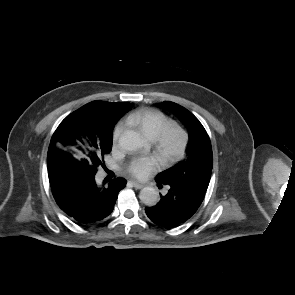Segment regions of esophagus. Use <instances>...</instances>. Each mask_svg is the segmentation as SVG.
<instances>
[{
    "label": "esophagus",
    "mask_w": 295,
    "mask_h": 295,
    "mask_svg": "<svg viewBox=\"0 0 295 295\" xmlns=\"http://www.w3.org/2000/svg\"><path fill=\"white\" fill-rule=\"evenodd\" d=\"M130 182L132 183L133 187H135L136 189H141V188L144 187L143 184L138 183V182H136V181H134V180H131Z\"/></svg>",
    "instance_id": "34e87169"
}]
</instances>
